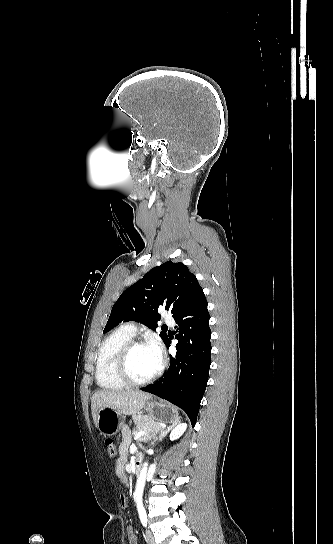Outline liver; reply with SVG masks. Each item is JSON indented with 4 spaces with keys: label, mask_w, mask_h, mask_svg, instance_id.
Here are the masks:
<instances>
[{
    "label": "liver",
    "mask_w": 333,
    "mask_h": 544,
    "mask_svg": "<svg viewBox=\"0 0 333 544\" xmlns=\"http://www.w3.org/2000/svg\"><path fill=\"white\" fill-rule=\"evenodd\" d=\"M151 395L139 390H99L91 398L92 417L97 426L100 408H109L119 414L135 417Z\"/></svg>",
    "instance_id": "obj_1"
}]
</instances>
